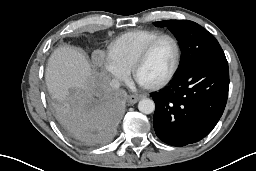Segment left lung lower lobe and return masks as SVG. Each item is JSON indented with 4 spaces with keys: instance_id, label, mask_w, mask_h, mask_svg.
Instances as JSON below:
<instances>
[{
    "instance_id": "left-lung-lower-lobe-1",
    "label": "left lung lower lobe",
    "mask_w": 256,
    "mask_h": 171,
    "mask_svg": "<svg viewBox=\"0 0 256 171\" xmlns=\"http://www.w3.org/2000/svg\"><path fill=\"white\" fill-rule=\"evenodd\" d=\"M228 90L226 59L199 62L178 72L170 86L151 95L156 135L172 146L201 140L223 114Z\"/></svg>"
}]
</instances>
